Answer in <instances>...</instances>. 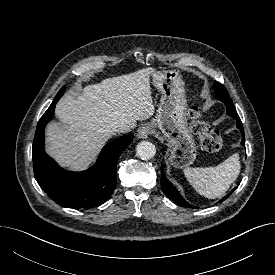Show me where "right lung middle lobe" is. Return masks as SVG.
<instances>
[{
	"mask_svg": "<svg viewBox=\"0 0 275 275\" xmlns=\"http://www.w3.org/2000/svg\"><path fill=\"white\" fill-rule=\"evenodd\" d=\"M64 90H65V87H63V88L58 92L57 95L62 96V95L64 94Z\"/></svg>",
	"mask_w": 275,
	"mask_h": 275,
	"instance_id": "dd1d6c3e",
	"label": "right lung middle lobe"
}]
</instances>
